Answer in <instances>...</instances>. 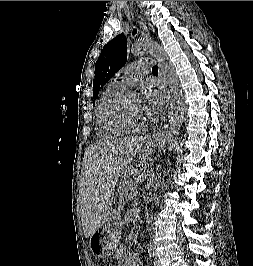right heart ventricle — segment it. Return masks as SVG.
<instances>
[{"instance_id":"right-heart-ventricle-1","label":"right heart ventricle","mask_w":253,"mask_h":266,"mask_svg":"<svg viewBox=\"0 0 253 266\" xmlns=\"http://www.w3.org/2000/svg\"><path fill=\"white\" fill-rule=\"evenodd\" d=\"M117 80L111 81L102 92L96 110V130L101 139H113L128 131L118 127L111 120V109L116 99L126 90Z\"/></svg>"}]
</instances>
